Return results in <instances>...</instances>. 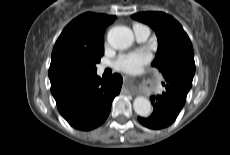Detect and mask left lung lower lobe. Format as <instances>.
Segmentation results:
<instances>
[{
	"instance_id": "left-lung-lower-lobe-1",
	"label": "left lung lower lobe",
	"mask_w": 230,
	"mask_h": 155,
	"mask_svg": "<svg viewBox=\"0 0 230 155\" xmlns=\"http://www.w3.org/2000/svg\"><path fill=\"white\" fill-rule=\"evenodd\" d=\"M165 91L151 97L154 110L149 118L138 117L139 122L151 129H162L172 124L185 104L191 87L178 80H166Z\"/></svg>"
}]
</instances>
